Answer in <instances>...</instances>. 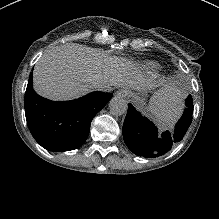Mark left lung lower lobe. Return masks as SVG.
Listing matches in <instances>:
<instances>
[{"instance_id": "0a47b994", "label": "left lung lower lobe", "mask_w": 219, "mask_h": 219, "mask_svg": "<svg viewBox=\"0 0 219 219\" xmlns=\"http://www.w3.org/2000/svg\"><path fill=\"white\" fill-rule=\"evenodd\" d=\"M186 106L174 131L161 134L149 119L129 104L123 125V137L128 148L143 157H158L168 152L174 143L183 138L192 121L193 104Z\"/></svg>"}]
</instances>
